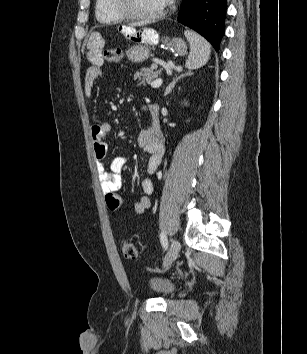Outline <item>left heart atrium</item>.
Returning <instances> with one entry per match:
<instances>
[{
	"mask_svg": "<svg viewBox=\"0 0 307 354\" xmlns=\"http://www.w3.org/2000/svg\"><path fill=\"white\" fill-rule=\"evenodd\" d=\"M164 1V3H167L168 1H170V0H163Z\"/></svg>",
	"mask_w": 307,
	"mask_h": 354,
	"instance_id": "1",
	"label": "left heart atrium"
}]
</instances>
